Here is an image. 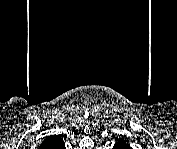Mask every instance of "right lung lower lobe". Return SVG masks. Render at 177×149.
I'll return each instance as SVG.
<instances>
[{"instance_id": "98d812e1", "label": "right lung lower lobe", "mask_w": 177, "mask_h": 149, "mask_svg": "<svg viewBox=\"0 0 177 149\" xmlns=\"http://www.w3.org/2000/svg\"><path fill=\"white\" fill-rule=\"evenodd\" d=\"M52 140H57V137L56 136H50V137H48V138H46L45 140H44V142H43V145L44 146H47V147H50V144H46V143H50ZM53 147H56V148H64L65 146H64V142L62 141L61 143H57L56 145H54Z\"/></svg>"}]
</instances>
